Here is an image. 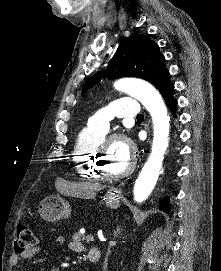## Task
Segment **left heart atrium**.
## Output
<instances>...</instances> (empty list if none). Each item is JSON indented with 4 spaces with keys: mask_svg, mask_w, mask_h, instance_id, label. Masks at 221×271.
<instances>
[{
    "mask_svg": "<svg viewBox=\"0 0 221 271\" xmlns=\"http://www.w3.org/2000/svg\"><path fill=\"white\" fill-rule=\"evenodd\" d=\"M109 157H128L126 148H115V152H109Z\"/></svg>",
    "mask_w": 221,
    "mask_h": 271,
    "instance_id": "39dd6f15",
    "label": "left heart atrium"
}]
</instances>
